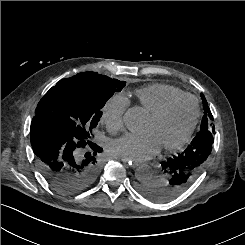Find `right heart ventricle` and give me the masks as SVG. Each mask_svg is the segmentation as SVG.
<instances>
[{"mask_svg": "<svg viewBox=\"0 0 245 245\" xmlns=\"http://www.w3.org/2000/svg\"><path fill=\"white\" fill-rule=\"evenodd\" d=\"M184 94L182 90L165 84H152L135 92L139 106L147 114L155 111L169 99Z\"/></svg>", "mask_w": 245, "mask_h": 245, "instance_id": "1", "label": "right heart ventricle"}]
</instances>
